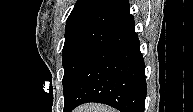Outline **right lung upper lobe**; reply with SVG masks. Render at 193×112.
Listing matches in <instances>:
<instances>
[{"mask_svg": "<svg viewBox=\"0 0 193 112\" xmlns=\"http://www.w3.org/2000/svg\"><path fill=\"white\" fill-rule=\"evenodd\" d=\"M128 0H78L66 21V31L96 27L118 32L134 21Z\"/></svg>", "mask_w": 193, "mask_h": 112, "instance_id": "cb5924a9", "label": "right lung upper lobe"}]
</instances>
